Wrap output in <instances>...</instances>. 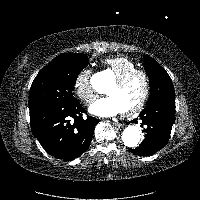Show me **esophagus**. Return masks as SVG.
Returning <instances> with one entry per match:
<instances>
[{
    "label": "esophagus",
    "instance_id": "1",
    "mask_svg": "<svg viewBox=\"0 0 200 200\" xmlns=\"http://www.w3.org/2000/svg\"><path fill=\"white\" fill-rule=\"evenodd\" d=\"M114 125H115L117 128H122V127L124 126V124L118 123V122L114 123Z\"/></svg>",
    "mask_w": 200,
    "mask_h": 200
}]
</instances>
